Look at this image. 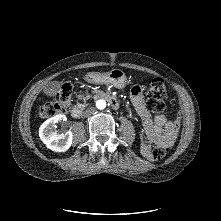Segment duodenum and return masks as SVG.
<instances>
[{
	"label": "duodenum",
	"mask_w": 221,
	"mask_h": 221,
	"mask_svg": "<svg viewBox=\"0 0 221 221\" xmlns=\"http://www.w3.org/2000/svg\"><path fill=\"white\" fill-rule=\"evenodd\" d=\"M94 96L97 97V98L105 99L114 109H118L119 106H120V102H119L118 98H116L111 93L104 92V91H97L94 94ZM81 115H82V108L81 107L75 106L71 110V116L73 118H79Z\"/></svg>",
	"instance_id": "410a0bca"
}]
</instances>
